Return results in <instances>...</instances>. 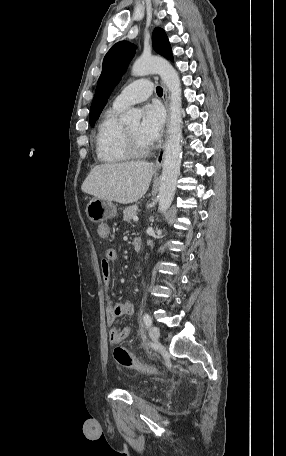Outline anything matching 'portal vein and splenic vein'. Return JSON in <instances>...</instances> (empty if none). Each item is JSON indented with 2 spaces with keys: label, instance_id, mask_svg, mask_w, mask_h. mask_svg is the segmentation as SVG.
<instances>
[{
  "label": "portal vein and splenic vein",
  "instance_id": "portal-vein-and-splenic-vein-1",
  "mask_svg": "<svg viewBox=\"0 0 286 456\" xmlns=\"http://www.w3.org/2000/svg\"><path fill=\"white\" fill-rule=\"evenodd\" d=\"M133 221L137 222V221H138V217H137V216H134V217H133Z\"/></svg>",
  "mask_w": 286,
  "mask_h": 456
}]
</instances>
